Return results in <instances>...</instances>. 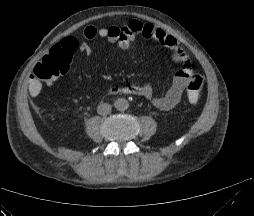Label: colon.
I'll return each instance as SVG.
<instances>
[{
	"label": "colon",
	"mask_w": 254,
	"mask_h": 216,
	"mask_svg": "<svg viewBox=\"0 0 254 216\" xmlns=\"http://www.w3.org/2000/svg\"><path fill=\"white\" fill-rule=\"evenodd\" d=\"M70 55L66 52L51 49L48 54L34 68L36 79L42 84H51L69 68ZM204 78L199 73L189 76L187 83V98L195 103L203 89Z\"/></svg>",
	"instance_id": "obj_1"
}]
</instances>
